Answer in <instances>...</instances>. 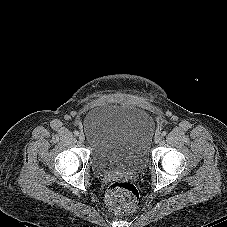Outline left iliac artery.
I'll return each instance as SVG.
<instances>
[{
	"mask_svg": "<svg viewBox=\"0 0 227 227\" xmlns=\"http://www.w3.org/2000/svg\"><path fill=\"white\" fill-rule=\"evenodd\" d=\"M166 134H167V132H166V131H163V132H162V135H163V136H165Z\"/></svg>",
	"mask_w": 227,
	"mask_h": 227,
	"instance_id": "44dca946",
	"label": "left iliac artery"
}]
</instances>
